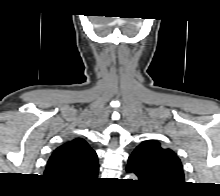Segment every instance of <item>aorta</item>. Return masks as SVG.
<instances>
[{
  "label": "aorta",
  "instance_id": "762f6f07",
  "mask_svg": "<svg viewBox=\"0 0 220 196\" xmlns=\"http://www.w3.org/2000/svg\"><path fill=\"white\" fill-rule=\"evenodd\" d=\"M127 177H129V179H136V176L135 175H133V174H129Z\"/></svg>",
  "mask_w": 220,
  "mask_h": 196
}]
</instances>
